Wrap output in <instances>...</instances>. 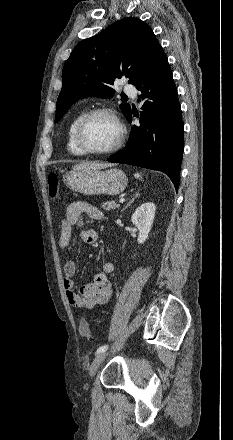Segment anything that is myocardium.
<instances>
[{
    "instance_id": "1",
    "label": "myocardium",
    "mask_w": 233,
    "mask_h": 440,
    "mask_svg": "<svg viewBox=\"0 0 233 440\" xmlns=\"http://www.w3.org/2000/svg\"><path fill=\"white\" fill-rule=\"evenodd\" d=\"M97 115L109 116L115 122V124L118 128V137H117L115 143L111 147H109L105 150L89 149L82 142V132H83V129H84L86 123L92 117L97 116ZM125 136H126V129H125L124 124L120 120L119 116L117 115V113L113 109L106 108V107L94 108V109H91V110L87 111L86 113H84L81 116V118L79 119V121L75 127V132H74L75 144L78 147V149L84 155H94V156H105V155H110V154L115 153L122 146V144L125 140Z\"/></svg>"
}]
</instances>
